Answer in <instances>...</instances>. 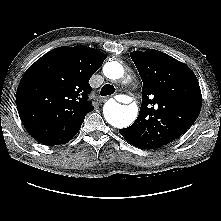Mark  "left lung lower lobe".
Instances as JSON below:
<instances>
[{
  "label": "left lung lower lobe",
  "mask_w": 221,
  "mask_h": 221,
  "mask_svg": "<svg viewBox=\"0 0 221 221\" xmlns=\"http://www.w3.org/2000/svg\"><path fill=\"white\" fill-rule=\"evenodd\" d=\"M119 132L129 143L133 142L134 135L131 130L125 128V129H120Z\"/></svg>",
  "instance_id": "obj_1"
}]
</instances>
